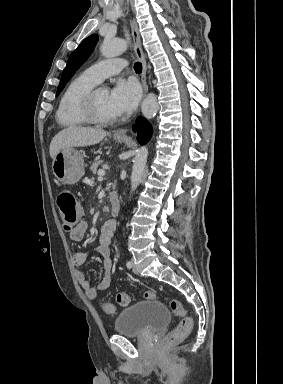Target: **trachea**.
<instances>
[{"mask_svg": "<svg viewBox=\"0 0 283 384\" xmlns=\"http://www.w3.org/2000/svg\"><path fill=\"white\" fill-rule=\"evenodd\" d=\"M134 70L136 73H141L142 72V63L136 62L134 64Z\"/></svg>", "mask_w": 283, "mask_h": 384, "instance_id": "trachea-1", "label": "trachea"}]
</instances>
